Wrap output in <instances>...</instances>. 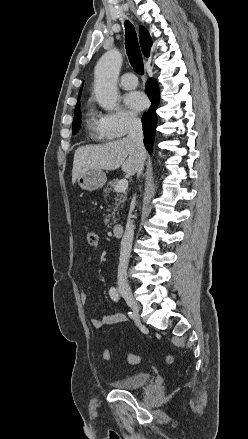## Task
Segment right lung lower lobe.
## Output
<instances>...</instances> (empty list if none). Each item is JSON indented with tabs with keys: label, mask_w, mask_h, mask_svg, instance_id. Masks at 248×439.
<instances>
[{
	"label": "right lung lower lobe",
	"mask_w": 248,
	"mask_h": 439,
	"mask_svg": "<svg viewBox=\"0 0 248 439\" xmlns=\"http://www.w3.org/2000/svg\"><path fill=\"white\" fill-rule=\"evenodd\" d=\"M146 93L151 101V106L149 110L142 116V126L144 132L143 142L146 149L151 154L157 125L156 109L158 108L160 98L158 84L153 78H150L146 83Z\"/></svg>",
	"instance_id": "obj_1"
}]
</instances>
